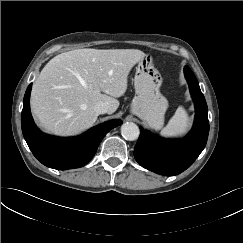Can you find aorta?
Masks as SVG:
<instances>
[{
    "instance_id": "762f6f07",
    "label": "aorta",
    "mask_w": 243,
    "mask_h": 243,
    "mask_svg": "<svg viewBox=\"0 0 243 243\" xmlns=\"http://www.w3.org/2000/svg\"><path fill=\"white\" fill-rule=\"evenodd\" d=\"M121 134L126 140L134 141L139 137L140 131L135 123L126 122L121 126Z\"/></svg>"
}]
</instances>
